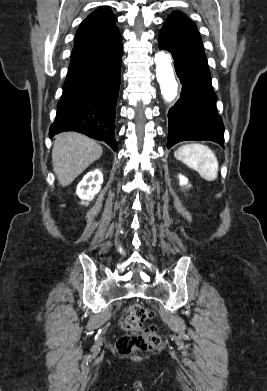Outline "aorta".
Segmentation results:
<instances>
[{"instance_id": "1", "label": "aorta", "mask_w": 267, "mask_h": 391, "mask_svg": "<svg viewBox=\"0 0 267 391\" xmlns=\"http://www.w3.org/2000/svg\"><path fill=\"white\" fill-rule=\"evenodd\" d=\"M154 61L161 94L166 102H172L177 96L178 84L174 76L171 56L163 51L157 52Z\"/></svg>"}]
</instances>
